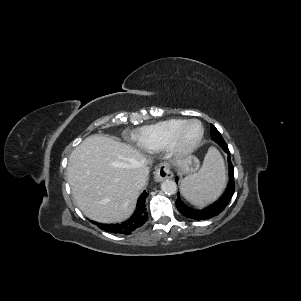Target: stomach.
<instances>
[{
  "label": "stomach",
  "instance_id": "0dacf381",
  "mask_svg": "<svg viewBox=\"0 0 301 301\" xmlns=\"http://www.w3.org/2000/svg\"><path fill=\"white\" fill-rule=\"evenodd\" d=\"M182 174L194 173L199 168V160L195 156H188L177 162Z\"/></svg>",
  "mask_w": 301,
  "mask_h": 301
}]
</instances>
